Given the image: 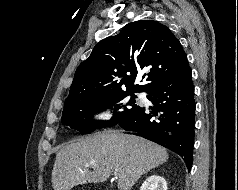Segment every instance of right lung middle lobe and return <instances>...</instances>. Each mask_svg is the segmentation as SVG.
<instances>
[{
  "instance_id": "dd1d6c3e",
  "label": "right lung middle lobe",
  "mask_w": 238,
  "mask_h": 190,
  "mask_svg": "<svg viewBox=\"0 0 238 190\" xmlns=\"http://www.w3.org/2000/svg\"><path fill=\"white\" fill-rule=\"evenodd\" d=\"M129 95H131V99L128 101L126 97ZM134 97H136L134 92L76 96L64 108L61 118L62 124L82 132L114 126L141 108L135 104ZM107 108L113 110V119L109 121H95L92 119L94 113Z\"/></svg>"
}]
</instances>
